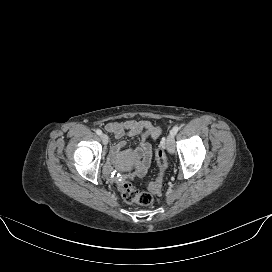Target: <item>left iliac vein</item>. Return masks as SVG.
I'll list each match as a JSON object with an SVG mask.
<instances>
[{"mask_svg":"<svg viewBox=\"0 0 272 272\" xmlns=\"http://www.w3.org/2000/svg\"><path fill=\"white\" fill-rule=\"evenodd\" d=\"M166 148H167L168 152H170V153H173L175 150L174 138L171 134L166 139Z\"/></svg>","mask_w":272,"mask_h":272,"instance_id":"left-iliac-vein-1","label":"left iliac vein"}]
</instances>
